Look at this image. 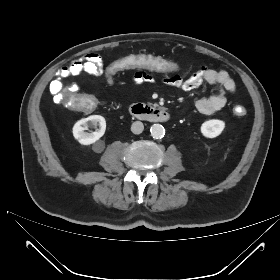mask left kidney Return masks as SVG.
I'll return each instance as SVG.
<instances>
[{
	"label": "left kidney",
	"mask_w": 280,
	"mask_h": 280,
	"mask_svg": "<svg viewBox=\"0 0 280 280\" xmlns=\"http://www.w3.org/2000/svg\"><path fill=\"white\" fill-rule=\"evenodd\" d=\"M225 127L222 120L211 119L201 125V133L207 138H215L221 134Z\"/></svg>",
	"instance_id": "5707ae66"
}]
</instances>
